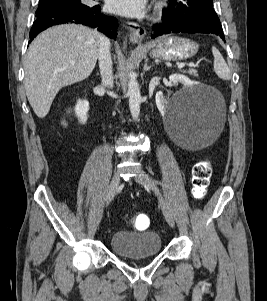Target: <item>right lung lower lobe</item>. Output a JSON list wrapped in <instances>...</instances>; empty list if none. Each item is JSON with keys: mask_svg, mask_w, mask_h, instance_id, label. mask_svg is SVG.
I'll return each instance as SVG.
<instances>
[{"mask_svg": "<svg viewBox=\"0 0 267 301\" xmlns=\"http://www.w3.org/2000/svg\"><path fill=\"white\" fill-rule=\"evenodd\" d=\"M63 23L83 24L90 27H98V30L108 37L116 39L118 21L116 18L101 14L99 5L85 7L63 8L45 14L37 15L30 31L33 40L46 28Z\"/></svg>", "mask_w": 267, "mask_h": 301, "instance_id": "obj_1", "label": "right lung lower lobe"}]
</instances>
